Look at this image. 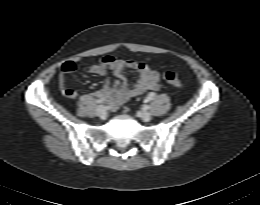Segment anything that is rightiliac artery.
I'll return each instance as SVG.
<instances>
[{"mask_svg":"<svg viewBox=\"0 0 260 205\" xmlns=\"http://www.w3.org/2000/svg\"><path fill=\"white\" fill-rule=\"evenodd\" d=\"M98 104H101V103H104V100L103 99H97L96 101Z\"/></svg>","mask_w":260,"mask_h":205,"instance_id":"right-iliac-artery-1","label":"right iliac artery"}]
</instances>
